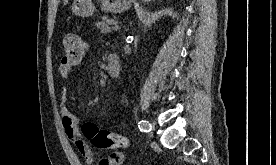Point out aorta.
<instances>
[{
  "mask_svg": "<svg viewBox=\"0 0 276 165\" xmlns=\"http://www.w3.org/2000/svg\"><path fill=\"white\" fill-rule=\"evenodd\" d=\"M151 0H142V2H150Z\"/></svg>",
  "mask_w": 276,
  "mask_h": 165,
  "instance_id": "aorta-1",
  "label": "aorta"
}]
</instances>
